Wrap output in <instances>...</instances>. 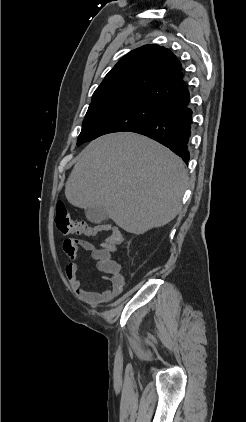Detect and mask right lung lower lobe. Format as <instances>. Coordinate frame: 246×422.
Wrapping results in <instances>:
<instances>
[{"label":"right lung lower lobe","mask_w":246,"mask_h":422,"mask_svg":"<svg viewBox=\"0 0 246 422\" xmlns=\"http://www.w3.org/2000/svg\"><path fill=\"white\" fill-rule=\"evenodd\" d=\"M190 94L168 100L158 106V115L132 129L156 140L180 156L187 164L190 158L188 141L191 134L192 110Z\"/></svg>","instance_id":"right-lung-lower-lobe-1"}]
</instances>
